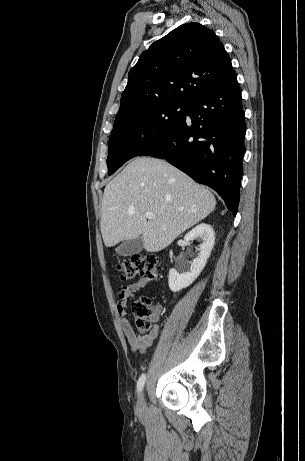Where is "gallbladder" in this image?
<instances>
[{"mask_svg":"<svg viewBox=\"0 0 305 461\" xmlns=\"http://www.w3.org/2000/svg\"><path fill=\"white\" fill-rule=\"evenodd\" d=\"M144 247L142 236L130 240L116 248V253L120 256H131L142 251Z\"/></svg>","mask_w":305,"mask_h":461,"instance_id":"gallbladder-1","label":"gallbladder"}]
</instances>
